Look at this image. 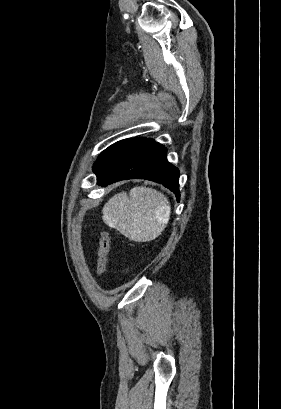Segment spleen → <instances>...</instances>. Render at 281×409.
I'll list each match as a JSON object with an SVG mask.
<instances>
[{"label":"spleen","instance_id":"1","mask_svg":"<svg viewBox=\"0 0 281 409\" xmlns=\"http://www.w3.org/2000/svg\"><path fill=\"white\" fill-rule=\"evenodd\" d=\"M103 221L121 235L147 243L157 239L166 229L171 213L169 200L163 192L147 186H134L114 194L104 205Z\"/></svg>","mask_w":281,"mask_h":409}]
</instances>
